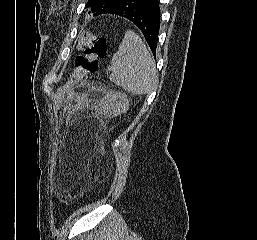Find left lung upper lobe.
<instances>
[{
  "mask_svg": "<svg viewBox=\"0 0 257 240\" xmlns=\"http://www.w3.org/2000/svg\"><path fill=\"white\" fill-rule=\"evenodd\" d=\"M119 1L120 0H88L86 6L90 8L89 14L98 16L115 6Z\"/></svg>",
  "mask_w": 257,
  "mask_h": 240,
  "instance_id": "obj_1",
  "label": "left lung upper lobe"
}]
</instances>
